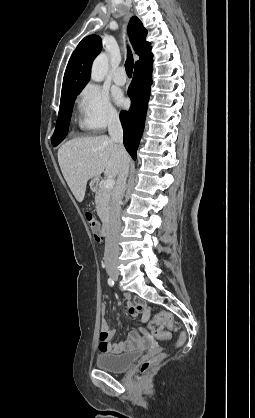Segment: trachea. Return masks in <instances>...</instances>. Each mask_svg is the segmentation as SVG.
<instances>
[{"mask_svg":"<svg viewBox=\"0 0 255 418\" xmlns=\"http://www.w3.org/2000/svg\"><path fill=\"white\" fill-rule=\"evenodd\" d=\"M133 67H134L133 56H132L130 49L128 48L127 59L125 62V69H126V73L128 76H132Z\"/></svg>","mask_w":255,"mask_h":418,"instance_id":"3493384b","label":"trachea"}]
</instances>
